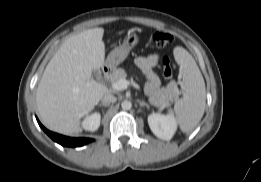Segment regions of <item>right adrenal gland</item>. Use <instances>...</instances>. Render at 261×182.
Wrapping results in <instances>:
<instances>
[{
	"label": "right adrenal gland",
	"mask_w": 261,
	"mask_h": 182,
	"mask_svg": "<svg viewBox=\"0 0 261 182\" xmlns=\"http://www.w3.org/2000/svg\"><path fill=\"white\" fill-rule=\"evenodd\" d=\"M98 106H103L104 108L108 107L107 104L100 103ZM104 112V111H103Z\"/></svg>",
	"instance_id": "right-adrenal-gland-1"
}]
</instances>
